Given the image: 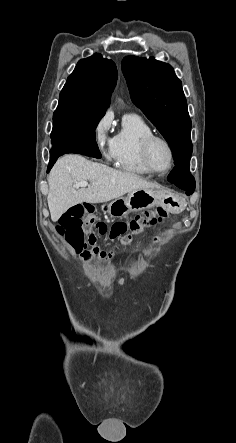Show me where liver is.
Masks as SVG:
<instances>
[{
  "label": "liver",
  "mask_w": 236,
  "mask_h": 443,
  "mask_svg": "<svg viewBox=\"0 0 236 443\" xmlns=\"http://www.w3.org/2000/svg\"><path fill=\"white\" fill-rule=\"evenodd\" d=\"M80 181H90L91 185L74 188ZM48 183L47 201L53 222L76 204L103 203L136 190L159 188L135 174L91 162L79 155L61 157L51 170Z\"/></svg>",
  "instance_id": "6515ba94"
}]
</instances>
